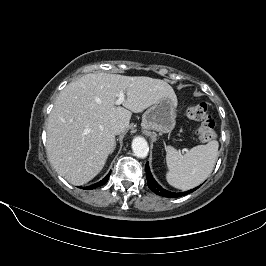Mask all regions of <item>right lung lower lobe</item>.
I'll return each instance as SVG.
<instances>
[{"instance_id": "obj_1", "label": "right lung lower lobe", "mask_w": 266, "mask_h": 266, "mask_svg": "<svg viewBox=\"0 0 266 266\" xmlns=\"http://www.w3.org/2000/svg\"><path fill=\"white\" fill-rule=\"evenodd\" d=\"M109 176H110V172H109V173L107 174V176H106L104 179H102L101 181H99V182H97L96 184H93V185H91V186L83 187V189H94V188H96V187L102 186V185H104V184L108 181Z\"/></svg>"}]
</instances>
